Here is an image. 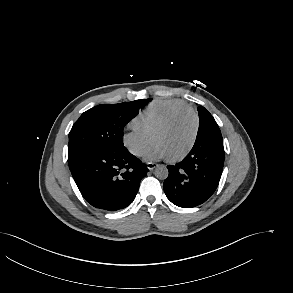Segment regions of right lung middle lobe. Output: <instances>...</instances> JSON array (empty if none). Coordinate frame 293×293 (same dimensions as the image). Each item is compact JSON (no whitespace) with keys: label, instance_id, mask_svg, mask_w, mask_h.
<instances>
[{"label":"right lung middle lobe","instance_id":"right-lung-middle-lobe-1","mask_svg":"<svg viewBox=\"0 0 293 293\" xmlns=\"http://www.w3.org/2000/svg\"><path fill=\"white\" fill-rule=\"evenodd\" d=\"M151 100L103 104L84 112L69 133L68 164L95 152L124 146L121 139L124 126Z\"/></svg>","mask_w":293,"mask_h":293}]
</instances>
